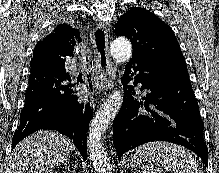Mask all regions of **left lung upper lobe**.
<instances>
[{
  "label": "left lung upper lobe",
  "instance_id": "1",
  "mask_svg": "<svg viewBox=\"0 0 219 173\" xmlns=\"http://www.w3.org/2000/svg\"><path fill=\"white\" fill-rule=\"evenodd\" d=\"M115 34L131 40L133 57L156 61L175 73H188L172 29L148 10L141 7L128 10L118 20Z\"/></svg>",
  "mask_w": 219,
  "mask_h": 173
}]
</instances>
